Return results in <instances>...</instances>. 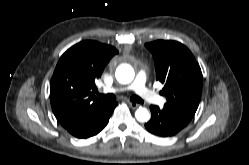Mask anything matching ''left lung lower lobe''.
Here are the masks:
<instances>
[{
	"label": "left lung lower lobe",
	"instance_id": "1",
	"mask_svg": "<svg viewBox=\"0 0 249 165\" xmlns=\"http://www.w3.org/2000/svg\"><path fill=\"white\" fill-rule=\"evenodd\" d=\"M151 119L145 124V128L152 134L161 137H170L181 131L192 120L193 116L173 109L151 105Z\"/></svg>",
	"mask_w": 249,
	"mask_h": 165
}]
</instances>
